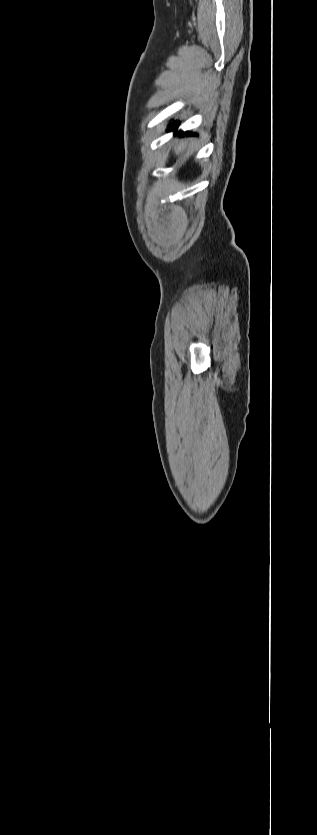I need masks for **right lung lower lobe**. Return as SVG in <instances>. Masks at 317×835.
Returning <instances> with one entry per match:
<instances>
[{
    "label": "right lung lower lobe",
    "mask_w": 317,
    "mask_h": 835,
    "mask_svg": "<svg viewBox=\"0 0 317 835\" xmlns=\"http://www.w3.org/2000/svg\"><path fill=\"white\" fill-rule=\"evenodd\" d=\"M178 125H179V122H174L173 124H171V125H170L169 130H174L175 128H177V127H178ZM176 134H177L179 137H181V136L195 135V134H192V133H190V132H185V133H184V132H181V131L176 132Z\"/></svg>",
    "instance_id": "right-lung-lower-lobe-1"
}]
</instances>
